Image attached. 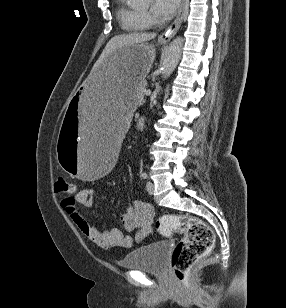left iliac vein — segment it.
Instances as JSON below:
<instances>
[{
    "mask_svg": "<svg viewBox=\"0 0 286 308\" xmlns=\"http://www.w3.org/2000/svg\"><path fill=\"white\" fill-rule=\"evenodd\" d=\"M147 192L152 195L154 193V184L152 181H147L146 183Z\"/></svg>",
    "mask_w": 286,
    "mask_h": 308,
    "instance_id": "left-iliac-vein-1",
    "label": "left iliac vein"
}]
</instances>
